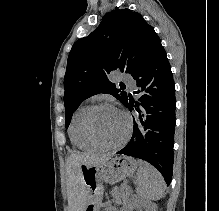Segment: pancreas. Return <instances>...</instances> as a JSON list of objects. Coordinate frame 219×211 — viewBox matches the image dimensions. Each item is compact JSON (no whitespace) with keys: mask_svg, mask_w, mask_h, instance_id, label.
Segmentation results:
<instances>
[{"mask_svg":"<svg viewBox=\"0 0 219 211\" xmlns=\"http://www.w3.org/2000/svg\"><path fill=\"white\" fill-rule=\"evenodd\" d=\"M113 192L111 193L112 197L114 198V203H119L120 200H126V189L125 186H121L120 188H116L115 190H112ZM115 191V192H114Z\"/></svg>","mask_w":219,"mask_h":211,"instance_id":"1","label":"pancreas"}]
</instances>
